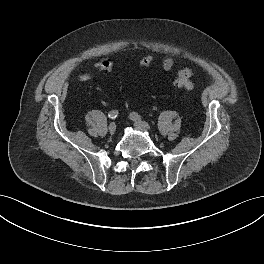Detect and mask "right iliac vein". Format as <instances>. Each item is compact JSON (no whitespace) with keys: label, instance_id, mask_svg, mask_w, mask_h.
<instances>
[{"label":"right iliac vein","instance_id":"63e3f726","mask_svg":"<svg viewBox=\"0 0 264 264\" xmlns=\"http://www.w3.org/2000/svg\"><path fill=\"white\" fill-rule=\"evenodd\" d=\"M115 131H116V124L115 123H110V125H109V132L111 134H113V133H115Z\"/></svg>","mask_w":264,"mask_h":264}]
</instances>
